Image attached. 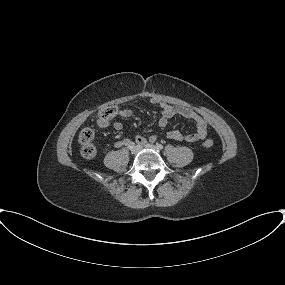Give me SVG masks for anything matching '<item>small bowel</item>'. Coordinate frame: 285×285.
<instances>
[{"instance_id": "c3829d8e", "label": "small bowel", "mask_w": 285, "mask_h": 285, "mask_svg": "<svg viewBox=\"0 0 285 285\" xmlns=\"http://www.w3.org/2000/svg\"><path fill=\"white\" fill-rule=\"evenodd\" d=\"M149 102L153 105L157 106L160 110V117L158 120V125L160 127H165L168 124L169 119L175 116H180L185 119L192 121L195 125V132L191 134H183L178 130H172L167 133V138L170 140L180 141V142H198L202 141L206 138L208 133V125L207 122L195 111L192 109L171 105L160 98L157 97H149ZM118 114L121 117L128 118L132 116L133 111L129 107H124L119 109ZM107 121L98 118L96 120V125L100 128H104L107 126ZM115 130L120 131L123 128V124L121 122H115L113 124ZM156 140V136H150L149 141L154 142ZM135 141L138 145H144L147 139L142 135H137L135 137ZM129 142L128 139H124L122 141H118L115 143L116 147L126 146Z\"/></svg>"}]
</instances>
